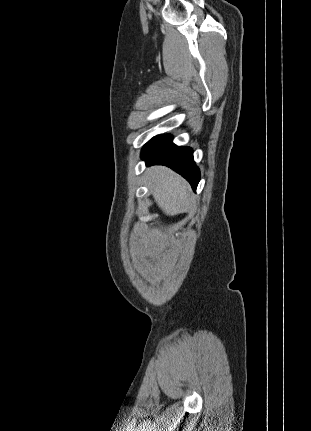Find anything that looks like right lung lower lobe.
Wrapping results in <instances>:
<instances>
[{
  "label": "right lung lower lobe",
  "mask_w": 311,
  "mask_h": 431,
  "mask_svg": "<svg viewBox=\"0 0 311 431\" xmlns=\"http://www.w3.org/2000/svg\"><path fill=\"white\" fill-rule=\"evenodd\" d=\"M147 165L161 164L181 174L192 186L193 190L200 180V171L193 159L190 147H178L172 143L171 135H160L144 145L141 154Z\"/></svg>",
  "instance_id": "1"
}]
</instances>
